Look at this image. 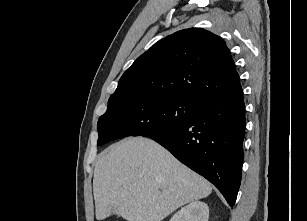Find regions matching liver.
<instances>
[{"label":"liver","mask_w":307,"mask_h":221,"mask_svg":"<svg viewBox=\"0 0 307 221\" xmlns=\"http://www.w3.org/2000/svg\"><path fill=\"white\" fill-rule=\"evenodd\" d=\"M211 192L207 180L148 138L131 137L112 145L95 165L97 220L114 213L127 221H162Z\"/></svg>","instance_id":"obj_1"}]
</instances>
